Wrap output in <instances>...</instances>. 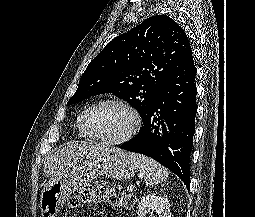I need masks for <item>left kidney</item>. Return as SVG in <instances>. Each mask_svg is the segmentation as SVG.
I'll list each match as a JSON object with an SVG mask.
<instances>
[{"label":"left kidney","instance_id":"1","mask_svg":"<svg viewBox=\"0 0 255 217\" xmlns=\"http://www.w3.org/2000/svg\"><path fill=\"white\" fill-rule=\"evenodd\" d=\"M170 203L167 196L148 194L138 204V216L145 217L147 213L155 211L158 217H171ZM155 217V216H152Z\"/></svg>","mask_w":255,"mask_h":217}]
</instances>
